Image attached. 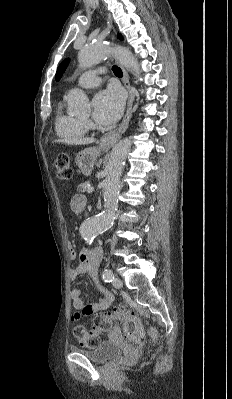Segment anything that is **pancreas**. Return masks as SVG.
<instances>
[{
    "instance_id": "pancreas-1",
    "label": "pancreas",
    "mask_w": 232,
    "mask_h": 399,
    "mask_svg": "<svg viewBox=\"0 0 232 399\" xmlns=\"http://www.w3.org/2000/svg\"><path fill=\"white\" fill-rule=\"evenodd\" d=\"M88 186H90V182H84V184H79V186H77V190L78 192H87Z\"/></svg>"
}]
</instances>
